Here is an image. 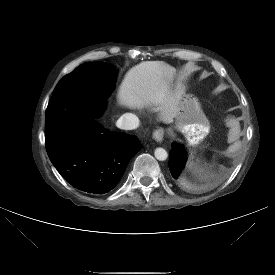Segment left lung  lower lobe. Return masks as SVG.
<instances>
[{"instance_id": "1", "label": "left lung lower lobe", "mask_w": 275, "mask_h": 275, "mask_svg": "<svg viewBox=\"0 0 275 275\" xmlns=\"http://www.w3.org/2000/svg\"><path fill=\"white\" fill-rule=\"evenodd\" d=\"M186 162L185 151L182 147L177 144H173L172 150L170 151L169 158V169L172 175V179L177 182H181L183 174L182 170Z\"/></svg>"}]
</instances>
